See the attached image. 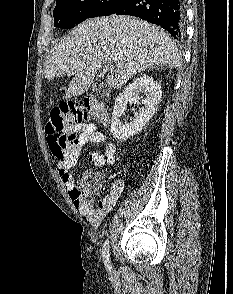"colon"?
<instances>
[{
	"mask_svg": "<svg viewBox=\"0 0 233 294\" xmlns=\"http://www.w3.org/2000/svg\"><path fill=\"white\" fill-rule=\"evenodd\" d=\"M85 110L77 103L68 102L55 107L45 127L47 142L52 154L62 160L74 141L70 130L78 124L86 123ZM103 185L100 172H87L76 183L75 193L81 197L97 194Z\"/></svg>",
	"mask_w": 233,
	"mask_h": 294,
	"instance_id": "5ec220e1",
	"label": "colon"
}]
</instances>
